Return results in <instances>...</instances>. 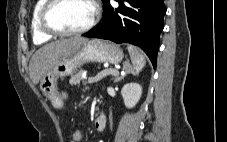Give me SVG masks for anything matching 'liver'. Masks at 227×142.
Returning a JSON list of instances; mask_svg holds the SVG:
<instances>
[{
	"mask_svg": "<svg viewBox=\"0 0 227 142\" xmlns=\"http://www.w3.org/2000/svg\"><path fill=\"white\" fill-rule=\"evenodd\" d=\"M88 39L81 36L56 40L41 47L32 56L29 63V75L37 85L59 61L75 54Z\"/></svg>",
	"mask_w": 227,
	"mask_h": 142,
	"instance_id": "6515ba94",
	"label": "liver"
}]
</instances>
